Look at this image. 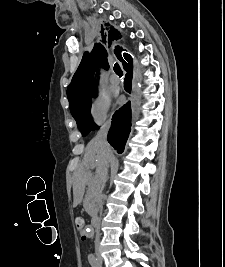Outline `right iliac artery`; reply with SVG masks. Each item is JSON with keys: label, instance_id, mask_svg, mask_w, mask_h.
Masks as SVG:
<instances>
[{"label": "right iliac artery", "instance_id": "1", "mask_svg": "<svg viewBox=\"0 0 225 267\" xmlns=\"http://www.w3.org/2000/svg\"><path fill=\"white\" fill-rule=\"evenodd\" d=\"M88 261H89V263L91 264L92 267H101V265L98 262L97 258L93 254H90L88 256Z\"/></svg>", "mask_w": 225, "mask_h": 267}]
</instances>
